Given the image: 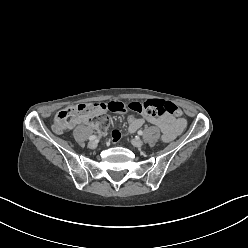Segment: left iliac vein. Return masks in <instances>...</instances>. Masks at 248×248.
<instances>
[{"instance_id": "left-iliac-vein-1", "label": "left iliac vein", "mask_w": 248, "mask_h": 248, "mask_svg": "<svg viewBox=\"0 0 248 248\" xmlns=\"http://www.w3.org/2000/svg\"><path fill=\"white\" fill-rule=\"evenodd\" d=\"M131 143L133 146L138 147V148L142 147V145H143V141L139 138H135V139L131 140Z\"/></svg>"}]
</instances>
